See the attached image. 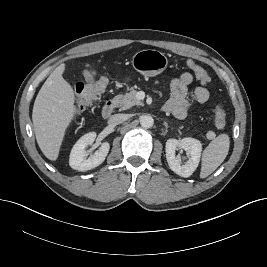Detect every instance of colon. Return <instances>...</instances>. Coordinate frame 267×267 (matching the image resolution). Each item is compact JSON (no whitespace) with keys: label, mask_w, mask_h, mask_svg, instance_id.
Segmentation results:
<instances>
[{"label":"colon","mask_w":267,"mask_h":267,"mask_svg":"<svg viewBox=\"0 0 267 267\" xmlns=\"http://www.w3.org/2000/svg\"><path fill=\"white\" fill-rule=\"evenodd\" d=\"M188 66L203 84H208L210 82L211 78L204 68L193 61H189ZM107 84L108 79L106 77H102L97 80L94 79L85 83H79L76 86L74 104L75 113L80 114L90 108L93 103L100 98L101 94L107 87ZM215 125L218 129H223L226 126V113L221 106H217L215 109Z\"/></svg>","instance_id":"obj_1"}]
</instances>
